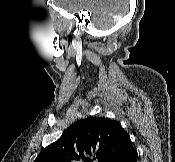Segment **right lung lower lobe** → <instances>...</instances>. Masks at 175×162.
I'll return each mask as SVG.
<instances>
[{"instance_id":"1","label":"right lung lower lobe","mask_w":175,"mask_h":162,"mask_svg":"<svg viewBox=\"0 0 175 162\" xmlns=\"http://www.w3.org/2000/svg\"><path fill=\"white\" fill-rule=\"evenodd\" d=\"M112 162H137V152L131 146L127 151L118 155Z\"/></svg>"}]
</instances>
